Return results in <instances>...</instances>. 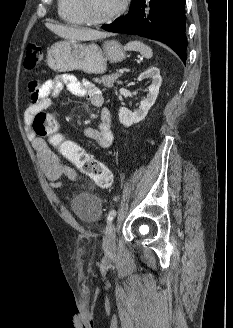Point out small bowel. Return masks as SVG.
<instances>
[{"label":"small bowel","instance_id":"c3829d8e","mask_svg":"<svg viewBox=\"0 0 233 328\" xmlns=\"http://www.w3.org/2000/svg\"><path fill=\"white\" fill-rule=\"evenodd\" d=\"M74 96L88 100L94 107L100 108V122L97 128L87 127L85 136L93 140L99 147L108 148L113 142L112 118L110 111L104 107L102 91L92 82L79 81L70 74H60L44 81L41 84L31 82L29 85L30 98L23 114V122L28 131L33 117L40 111L51 107L54 97L64 88ZM32 146L35 149L41 169L51 187L61 189L65 186L63 177L76 179V172L70 168L52 150L51 146L39 137H31Z\"/></svg>","mask_w":233,"mask_h":328}]
</instances>
